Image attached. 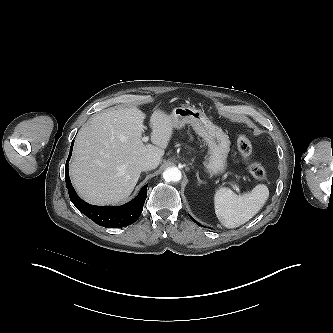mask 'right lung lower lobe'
I'll use <instances>...</instances> for the list:
<instances>
[{"instance_id": "1", "label": "right lung lower lobe", "mask_w": 333, "mask_h": 333, "mask_svg": "<svg viewBox=\"0 0 333 333\" xmlns=\"http://www.w3.org/2000/svg\"><path fill=\"white\" fill-rule=\"evenodd\" d=\"M74 140L70 147V154L65 165V180L69 197L75 207L96 224L109 227L121 228L133 224L141 215L144 202L147 196V184L142 187L139 194L132 201L122 206H94L84 202L76 194L70 182L68 173V162L71 157Z\"/></svg>"}]
</instances>
